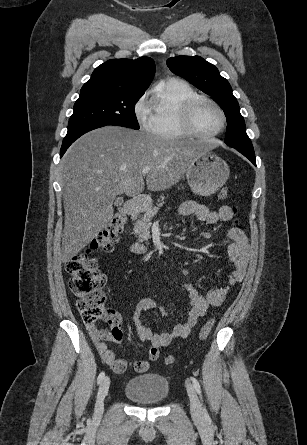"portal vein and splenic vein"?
I'll return each instance as SVG.
<instances>
[{
  "label": "portal vein and splenic vein",
  "mask_w": 307,
  "mask_h": 445,
  "mask_svg": "<svg viewBox=\"0 0 307 445\" xmlns=\"http://www.w3.org/2000/svg\"><path fill=\"white\" fill-rule=\"evenodd\" d=\"M150 170H152V168H150V166H145V168H143L142 172H143V174H147V172H150Z\"/></svg>",
  "instance_id": "obj_1"
}]
</instances>
